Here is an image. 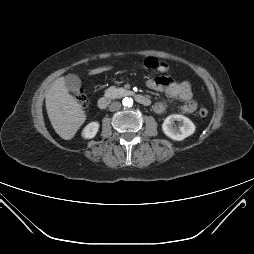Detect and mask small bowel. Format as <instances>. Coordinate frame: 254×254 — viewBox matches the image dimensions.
Returning <instances> with one entry per match:
<instances>
[{
	"instance_id": "1",
	"label": "small bowel",
	"mask_w": 254,
	"mask_h": 254,
	"mask_svg": "<svg viewBox=\"0 0 254 254\" xmlns=\"http://www.w3.org/2000/svg\"><path fill=\"white\" fill-rule=\"evenodd\" d=\"M146 86L152 90L164 92L170 98L182 101L181 111L184 113H193L197 108L188 81H175L169 76H161L147 79ZM153 109L157 114H161L165 111L166 106L164 103L158 102Z\"/></svg>"
}]
</instances>
